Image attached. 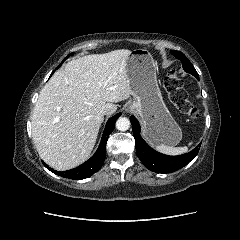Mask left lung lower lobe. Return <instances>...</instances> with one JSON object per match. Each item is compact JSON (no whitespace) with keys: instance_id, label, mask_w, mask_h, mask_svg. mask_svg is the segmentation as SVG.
I'll return each mask as SVG.
<instances>
[{"instance_id":"left-lung-lower-lobe-1","label":"left lung lower lobe","mask_w":240,"mask_h":240,"mask_svg":"<svg viewBox=\"0 0 240 240\" xmlns=\"http://www.w3.org/2000/svg\"><path fill=\"white\" fill-rule=\"evenodd\" d=\"M198 80V75L195 76ZM136 144V153L149 170L156 173L174 172L187 165L198 153L200 145L187 154L168 156L153 150L140 136V125L134 116L130 117Z\"/></svg>"}]
</instances>
